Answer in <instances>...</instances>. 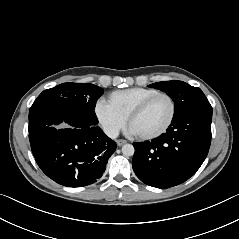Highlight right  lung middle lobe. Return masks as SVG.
Here are the masks:
<instances>
[{
  "label": "right lung middle lobe",
  "instance_id": "1",
  "mask_svg": "<svg viewBox=\"0 0 239 239\" xmlns=\"http://www.w3.org/2000/svg\"><path fill=\"white\" fill-rule=\"evenodd\" d=\"M103 89L88 83H63L43 91L29 112V132L54 120L98 123L94 112Z\"/></svg>",
  "mask_w": 239,
  "mask_h": 239
}]
</instances>
